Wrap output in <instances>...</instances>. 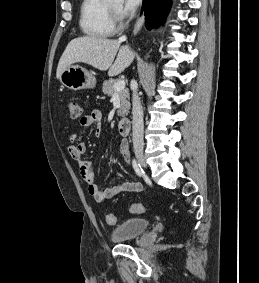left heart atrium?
<instances>
[{
  "instance_id": "39dd6f15",
  "label": "left heart atrium",
  "mask_w": 259,
  "mask_h": 283,
  "mask_svg": "<svg viewBox=\"0 0 259 283\" xmlns=\"http://www.w3.org/2000/svg\"><path fill=\"white\" fill-rule=\"evenodd\" d=\"M141 0H124V12L130 13L134 11L140 4Z\"/></svg>"
}]
</instances>
